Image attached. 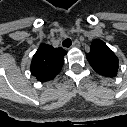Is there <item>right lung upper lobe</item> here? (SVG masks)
Returning <instances> with one entry per match:
<instances>
[{
	"mask_svg": "<svg viewBox=\"0 0 127 127\" xmlns=\"http://www.w3.org/2000/svg\"><path fill=\"white\" fill-rule=\"evenodd\" d=\"M66 54L67 52L62 48H53L47 44L40 45L32 59V75L41 82L51 80L61 70Z\"/></svg>",
	"mask_w": 127,
	"mask_h": 127,
	"instance_id": "right-lung-upper-lobe-1",
	"label": "right lung upper lobe"
}]
</instances>
